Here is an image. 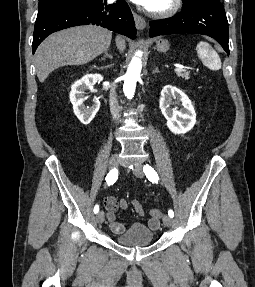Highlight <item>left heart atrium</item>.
I'll return each mask as SVG.
<instances>
[{"instance_id":"left-heart-atrium-1","label":"left heart atrium","mask_w":255,"mask_h":287,"mask_svg":"<svg viewBox=\"0 0 255 287\" xmlns=\"http://www.w3.org/2000/svg\"><path fill=\"white\" fill-rule=\"evenodd\" d=\"M139 1L145 2V1H147V0H139ZM116 13H122V12H121V11H118V12H116Z\"/></svg>"}]
</instances>
